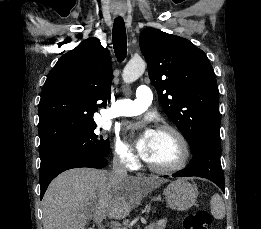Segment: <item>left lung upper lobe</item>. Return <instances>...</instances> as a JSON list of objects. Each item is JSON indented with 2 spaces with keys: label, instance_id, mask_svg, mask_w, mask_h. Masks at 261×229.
<instances>
[{
  "label": "left lung upper lobe",
  "instance_id": "5c2ea615",
  "mask_svg": "<svg viewBox=\"0 0 261 229\" xmlns=\"http://www.w3.org/2000/svg\"><path fill=\"white\" fill-rule=\"evenodd\" d=\"M140 49L163 111L196 150L220 143L219 92L206 54L189 40L146 28Z\"/></svg>",
  "mask_w": 261,
  "mask_h": 229
}]
</instances>
